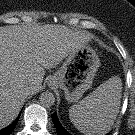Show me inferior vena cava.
<instances>
[{
  "mask_svg": "<svg viewBox=\"0 0 135 135\" xmlns=\"http://www.w3.org/2000/svg\"><path fill=\"white\" fill-rule=\"evenodd\" d=\"M31 88H32V85L27 86V87H26V91H30Z\"/></svg>",
  "mask_w": 135,
  "mask_h": 135,
  "instance_id": "602c4592",
  "label": "inferior vena cava"
}]
</instances>
